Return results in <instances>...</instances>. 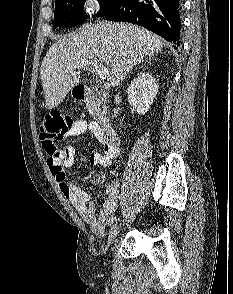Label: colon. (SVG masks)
Here are the masks:
<instances>
[{"label":"colon","instance_id":"obj_1","mask_svg":"<svg viewBox=\"0 0 233 294\" xmlns=\"http://www.w3.org/2000/svg\"><path fill=\"white\" fill-rule=\"evenodd\" d=\"M73 123L71 116L60 110H52L45 115L40 126V139L49 157H59L58 143Z\"/></svg>","mask_w":233,"mask_h":294}]
</instances>
